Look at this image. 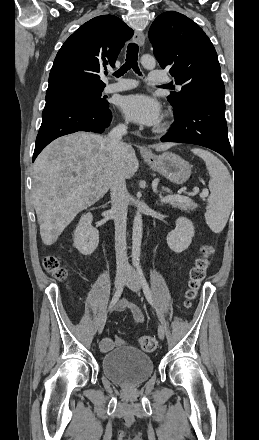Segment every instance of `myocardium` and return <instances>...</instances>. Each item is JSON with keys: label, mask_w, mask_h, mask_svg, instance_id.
<instances>
[{"label": "myocardium", "mask_w": 259, "mask_h": 440, "mask_svg": "<svg viewBox=\"0 0 259 440\" xmlns=\"http://www.w3.org/2000/svg\"><path fill=\"white\" fill-rule=\"evenodd\" d=\"M167 129V123L160 124L155 128L156 132H164Z\"/></svg>", "instance_id": "f54148a6"}]
</instances>
